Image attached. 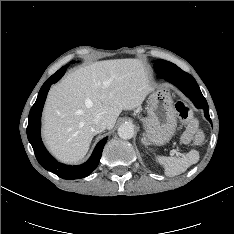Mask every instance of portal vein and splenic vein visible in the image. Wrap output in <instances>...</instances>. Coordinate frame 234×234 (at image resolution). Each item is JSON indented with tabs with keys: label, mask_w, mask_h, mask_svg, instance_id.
Masks as SVG:
<instances>
[{
	"label": "portal vein and splenic vein",
	"mask_w": 234,
	"mask_h": 234,
	"mask_svg": "<svg viewBox=\"0 0 234 234\" xmlns=\"http://www.w3.org/2000/svg\"><path fill=\"white\" fill-rule=\"evenodd\" d=\"M170 155H176V156H181L184 157L182 153H180L177 149H172L170 152Z\"/></svg>",
	"instance_id": "portal-vein-and-splenic-vein-1"
}]
</instances>
